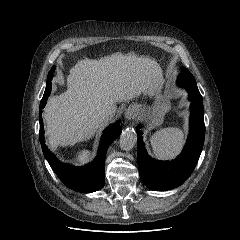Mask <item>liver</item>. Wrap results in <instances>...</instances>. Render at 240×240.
<instances>
[{
	"label": "liver",
	"instance_id": "obj_1",
	"mask_svg": "<svg viewBox=\"0 0 240 240\" xmlns=\"http://www.w3.org/2000/svg\"><path fill=\"white\" fill-rule=\"evenodd\" d=\"M162 80V69L155 60L135 54L78 61L67 76L66 92L51 97L44 109L50 146L91 138L104 124L96 119L99 108L114 115L116 103L141 94L152 96Z\"/></svg>",
	"mask_w": 240,
	"mask_h": 240
}]
</instances>
